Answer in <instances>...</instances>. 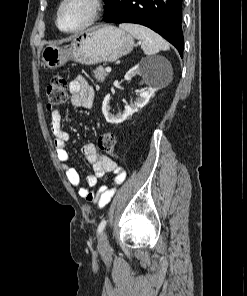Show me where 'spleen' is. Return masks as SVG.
Returning a JSON list of instances; mask_svg holds the SVG:
<instances>
[{"instance_id":"3e777b00","label":"spleen","mask_w":247,"mask_h":296,"mask_svg":"<svg viewBox=\"0 0 247 296\" xmlns=\"http://www.w3.org/2000/svg\"><path fill=\"white\" fill-rule=\"evenodd\" d=\"M119 28L127 31L134 38L141 40V47L148 56L155 55L159 51H165L170 48L169 44L159 34L145 26L123 23L119 25Z\"/></svg>"}]
</instances>
